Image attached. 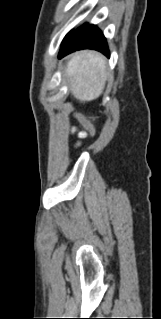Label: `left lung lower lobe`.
<instances>
[{
	"label": "left lung lower lobe",
	"instance_id": "left-lung-lower-lobe-1",
	"mask_svg": "<svg viewBox=\"0 0 161 319\" xmlns=\"http://www.w3.org/2000/svg\"><path fill=\"white\" fill-rule=\"evenodd\" d=\"M86 48L95 49L103 53L108 58L110 57L106 38L102 34L101 30L95 25L85 23L74 32L71 31L66 35L62 41L59 58L76 50Z\"/></svg>",
	"mask_w": 161,
	"mask_h": 319
}]
</instances>
